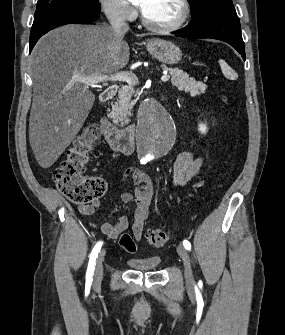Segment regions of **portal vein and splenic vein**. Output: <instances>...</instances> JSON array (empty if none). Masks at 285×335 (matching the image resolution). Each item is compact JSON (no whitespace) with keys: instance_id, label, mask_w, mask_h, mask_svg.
<instances>
[{"instance_id":"obj_1","label":"portal vein and splenic vein","mask_w":285,"mask_h":335,"mask_svg":"<svg viewBox=\"0 0 285 335\" xmlns=\"http://www.w3.org/2000/svg\"><path fill=\"white\" fill-rule=\"evenodd\" d=\"M164 76H162V82H167L170 76H168V72H163ZM77 82H83V84H89V86H94V84H105V82H127V84H136L137 78L135 76H131V74H122V72H118V74H113V76H81V78H76Z\"/></svg>"}]
</instances>
